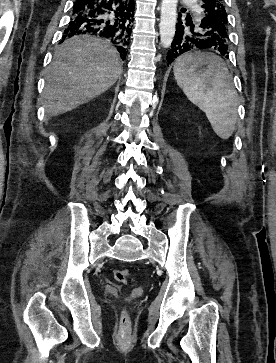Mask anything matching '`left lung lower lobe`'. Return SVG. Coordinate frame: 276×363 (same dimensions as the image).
I'll return each instance as SVG.
<instances>
[{
	"label": "left lung lower lobe",
	"instance_id": "left-lung-lower-lobe-1",
	"mask_svg": "<svg viewBox=\"0 0 276 363\" xmlns=\"http://www.w3.org/2000/svg\"><path fill=\"white\" fill-rule=\"evenodd\" d=\"M180 19L181 13H179L171 48L167 52V65L178 57L199 49L217 50L228 58V44L220 37L218 25L209 16L203 17L194 24L189 17H186V23Z\"/></svg>",
	"mask_w": 276,
	"mask_h": 363
}]
</instances>
